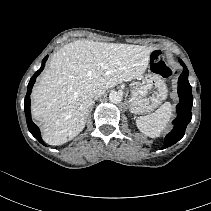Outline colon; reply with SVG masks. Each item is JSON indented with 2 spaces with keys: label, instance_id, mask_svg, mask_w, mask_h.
<instances>
[{
  "label": "colon",
  "instance_id": "colon-1",
  "mask_svg": "<svg viewBox=\"0 0 211 211\" xmlns=\"http://www.w3.org/2000/svg\"><path fill=\"white\" fill-rule=\"evenodd\" d=\"M151 60L154 63L155 70L163 77H169L172 75L171 68L162 60L159 51H154L151 54Z\"/></svg>",
  "mask_w": 211,
  "mask_h": 211
}]
</instances>
